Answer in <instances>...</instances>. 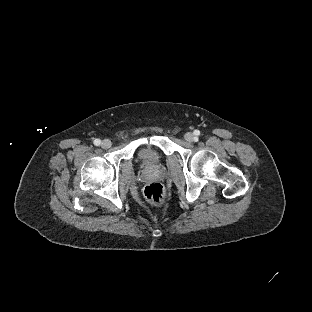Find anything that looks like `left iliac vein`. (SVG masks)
I'll use <instances>...</instances> for the list:
<instances>
[{
    "instance_id": "4c4485c4",
    "label": "left iliac vein",
    "mask_w": 312,
    "mask_h": 312,
    "mask_svg": "<svg viewBox=\"0 0 312 312\" xmlns=\"http://www.w3.org/2000/svg\"><path fill=\"white\" fill-rule=\"evenodd\" d=\"M184 138H185V140H186L187 142H193L194 139H195L193 133H191V132L186 133V134L184 135Z\"/></svg>"
}]
</instances>
